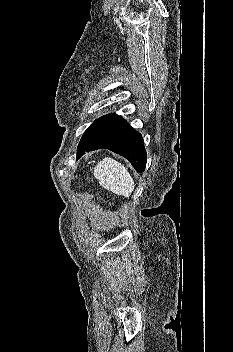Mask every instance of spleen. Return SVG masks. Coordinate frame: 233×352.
<instances>
[{"label": "spleen", "mask_w": 233, "mask_h": 352, "mask_svg": "<svg viewBox=\"0 0 233 352\" xmlns=\"http://www.w3.org/2000/svg\"><path fill=\"white\" fill-rule=\"evenodd\" d=\"M93 174L103 188L116 195L129 197L134 191L135 183L127 168L112 158H103Z\"/></svg>", "instance_id": "spleen-1"}]
</instances>
